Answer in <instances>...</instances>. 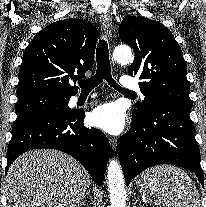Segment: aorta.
Returning a JSON list of instances; mask_svg holds the SVG:
<instances>
[{
  "instance_id": "1",
  "label": "aorta",
  "mask_w": 206,
  "mask_h": 207,
  "mask_svg": "<svg viewBox=\"0 0 206 207\" xmlns=\"http://www.w3.org/2000/svg\"><path fill=\"white\" fill-rule=\"evenodd\" d=\"M114 59L120 64L132 61L131 49L127 46H119L114 50ZM109 183V195L111 207H126V189L121 166L116 160H110L107 168Z\"/></svg>"
}]
</instances>
